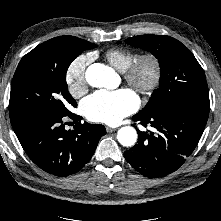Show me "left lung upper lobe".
<instances>
[{
    "instance_id": "obj_1",
    "label": "left lung upper lobe",
    "mask_w": 221,
    "mask_h": 221,
    "mask_svg": "<svg viewBox=\"0 0 221 221\" xmlns=\"http://www.w3.org/2000/svg\"><path fill=\"white\" fill-rule=\"evenodd\" d=\"M126 43L151 52L161 68L160 86L141 112H157L172 103L190 99L209 104L204 71L180 41L166 35H140L128 38Z\"/></svg>"
}]
</instances>
